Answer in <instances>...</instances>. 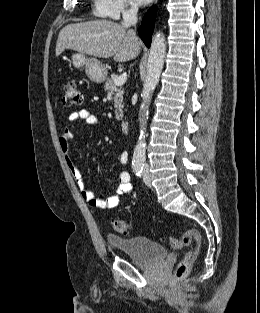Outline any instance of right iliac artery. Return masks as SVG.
Instances as JSON below:
<instances>
[{
	"instance_id": "obj_1",
	"label": "right iliac artery",
	"mask_w": 260,
	"mask_h": 313,
	"mask_svg": "<svg viewBox=\"0 0 260 313\" xmlns=\"http://www.w3.org/2000/svg\"><path fill=\"white\" fill-rule=\"evenodd\" d=\"M133 171L136 174V176L141 177L143 166L140 164L133 165Z\"/></svg>"
}]
</instances>
